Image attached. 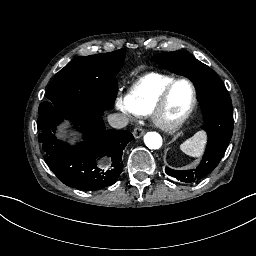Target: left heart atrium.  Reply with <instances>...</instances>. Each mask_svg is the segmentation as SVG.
Listing matches in <instances>:
<instances>
[{"label": "left heart atrium", "mask_w": 256, "mask_h": 256, "mask_svg": "<svg viewBox=\"0 0 256 256\" xmlns=\"http://www.w3.org/2000/svg\"><path fill=\"white\" fill-rule=\"evenodd\" d=\"M153 118V122L159 126V127H163V123L161 121H159L157 118H155L154 116L152 117Z\"/></svg>", "instance_id": "obj_1"}]
</instances>
